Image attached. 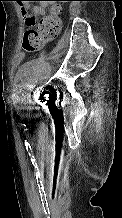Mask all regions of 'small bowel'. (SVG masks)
Instances as JSON below:
<instances>
[{
    "instance_id": "obj_1",
    "label": "small bowel",
    "mask_w": 122,
    "mask_h": 218,
    "mask_svg": "<svg viewBox=\"0 0 122 218\" xmlns=\"http://www.w3.org/2000/svg\"><path fill=\"white\" fill-rule=\"evenodd\" d=\"M27 9H28V6H24L22 8V12L24 15L27 13ZM46 9H47V4L41 3L33 8V15L34 16L44 15L46 13Z\"/></svg>"
}]
</instances>
